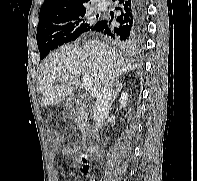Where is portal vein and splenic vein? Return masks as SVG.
I'll return each mask as SVG.
<instances>
[{"label":"portal vein and splenic vein","instance_id":"1","mask_svg":"<svg viewBox=\"0 0 197 181\" xmlns=\"http://www.w3.org/2000/svg\"><path fill=\"white\" fill-rule=\"evenodd\" d=\"M64 81H67L68 80V77L67 76H63L62 77ZM83 86L85 88V90H90L93 86V83H94V79L93 77H90L88 75H83Z\"/></svg>","mask_w":197,"mask_h":181}]
</instances>
